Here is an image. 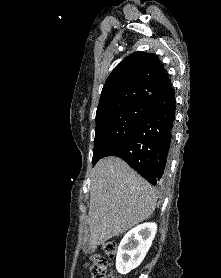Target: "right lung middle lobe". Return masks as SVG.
Wrapping results in <instances>:
<instances>
[{
	"mask_svg": "<svg viewBox=\"0 0 221 278\" xmlns=\"http://www.w3.org/2000/svg\"><path fill=\"white\" fill-rule=\"evenodd\" d=\"M150 112L144 101H135L96 116L93 165L121 138L130 133Z\"/></svg>",
	"mask_w": 221,
	"mask_h": 278,
	"instance_id": "obj_1",
	"label": "right lung middle lobe"
}]
</instances>
